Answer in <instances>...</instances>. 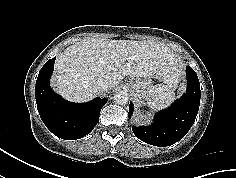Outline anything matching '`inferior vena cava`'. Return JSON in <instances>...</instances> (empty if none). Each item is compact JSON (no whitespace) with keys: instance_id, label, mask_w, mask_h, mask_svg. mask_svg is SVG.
<instances>
[{"instance_id":"1","label":"inferior vena cava","mask_w":236,"mask_h":178,"mask_svg":"<svg viewBox=\"0 0 236 178\" xmlns=\"http://www.w3.org/2000/svg\"><path fill=\"white\" fill-rule=\"evenodd\" d=\"M95 86H96L98 94L103 93V92L107 91V89H108L107 82L104 80L97 81Z\"/></svg>"}]
</instances>
